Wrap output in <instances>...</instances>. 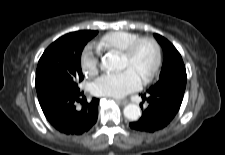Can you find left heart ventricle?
I'll return each instance as SVG.
<instances>
[{
	"label": "left heart ventricle",
	"mask_w": 225,
	"mask_h": 155,
	"mask_svg": "<svg viewBox=\"0 0 225 155\" xmlns=\"http://www.w3.org/2000/svg\"><path fill=\"white\" fill-rule=\"evenodd\" d=\"M154 62V51L148 43L141 44L132 59L121 56V67L131 68L143 79Z\"/></svg>",
	"instance_id": "1"
}]
</instances>
